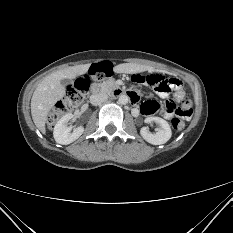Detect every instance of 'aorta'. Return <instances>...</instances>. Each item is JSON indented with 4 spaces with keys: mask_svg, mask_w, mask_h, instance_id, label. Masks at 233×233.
Listing matches in <instances>:
<instances>
[{
    "mask_svg": "<svg viewBox=\"0 0 233 233\" xmlns=\"http://www.w3.org/2000/svg\"><path fill=\"white\" fill-rule=\"evenodd\" d=\"M128 101H129L128 95L122 94V95L119 96L118 102L120 104L125 105V104L128 103Z\"/></svg>",
    "mask_w": 233,
    "mask_h": 233,
    "instance_id": "762f6f07",
    "label": "aorta"
}]
</instances>
